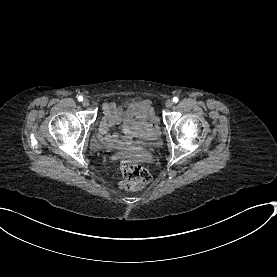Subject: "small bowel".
Returning <instances> with one entry per match:
<instances>
[{
	"instance_id": "obj_1",
	"label": "small bowel",
	"mask_w": 277,
	"mask_h": 277,
	"mask_svg": "<svg viewBox=\"0 0 277 277\" xmlns=\"http://www.w3.org/2000/svg\"><path fill=\"white\" fill-rule=\"evenodd\" d=\"M105 117L100 122L99 140L102 144L116 145L118 136L111 134V130L120 126L126 135L140 133L144 136L155 137L158 134V119L149 100H140L127 109H118L114 103L103 106Z\"/></svg>"
}]
</instances>
